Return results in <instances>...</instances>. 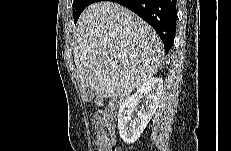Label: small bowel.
<instances>
[{
	"label": "small bowel",
	"mask_w": 231,
	"mask_h": 151,
	"mask_svg": "<svg viewBox=\"0 0 231 151\" xmlns=\"http://www.w3.org/2000/svg\"><path fill=\"white\" fill-rule=\"evenodd\" d=\"M114 144V141L112 142V144H106L104 142H102L99 138L97 139V148L95 151H109L110 147Z\"/></svg>",
	"instance_id": "obj_1"
}]
</instances>
